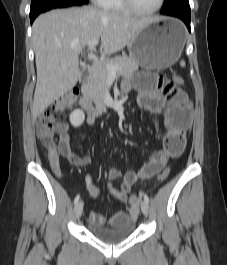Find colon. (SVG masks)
<instances>
[{
  "mask_svg": "<svg viewBox=\"0 0 227 265\" xmlns=\"http://www.w3.org/2000/svg\"><path fill=\"white\" fill-rule=\"evenodd\" d=\"M173 84L175 86H181L184 83L183 78L180 75L173 76ZM78 92L74 91L65 94L58 98L49 108L43 111L37 118V135L39 140L45 144L49 149H53L55 143L53 141L55 131V115L64 109L74 104L77 98ZM170 173V169L166 168L157 177L158 183L166 181ZM129 202L134 210L137 209L139 203V197L132 195L129 198Z\"/></svg>",
  "mask_w": 227,
  "mask_h": 265,
  "instance_id": "colon-1",
  "label": "colon"
}]
</instances>
